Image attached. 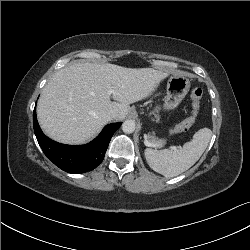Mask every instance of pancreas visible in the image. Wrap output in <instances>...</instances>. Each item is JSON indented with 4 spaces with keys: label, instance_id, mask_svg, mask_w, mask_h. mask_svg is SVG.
Returning <instances> with one entry per match:
<instances>
[{
    "label": "pancreas",
    "instance_id": "pancreas-1",
    "mask_svg": "<svg viewBox=\"0 0 250 250\" xmlns=\"http://www.w3.org/2000/svg\"><path fill=\"white\" fill-rule=\"evenodd\" d=\"M149 141L152 143V144H160L162 143L163 141L162 140H159L158 138H156L155 136H149Z\"/></svg>",
    "mask_w": 250,
    "mask_h": 250
}]
</instances>
